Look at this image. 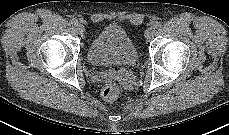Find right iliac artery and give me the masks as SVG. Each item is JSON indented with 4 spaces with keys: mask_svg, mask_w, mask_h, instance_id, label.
<instances>
[{
    "mask_svg": "<svg viewBox=\"0 0 229 135\" xmlns=\"http://www.w3.org/2000/svg\"><path fill=\"white\" fill-rule=\"evenodd\" d=\"M71 24H72V25H77V24H78V20L75 19V18H73V19L71 20Z\"/></svg>",
    "mask_w": 229,
    "mask_h": 135,
    "instance_id": "right-iliac-artery-1",
    "label": "right iliac artery"
}]
</instances>
